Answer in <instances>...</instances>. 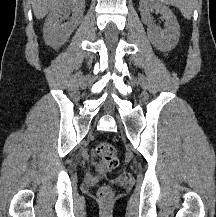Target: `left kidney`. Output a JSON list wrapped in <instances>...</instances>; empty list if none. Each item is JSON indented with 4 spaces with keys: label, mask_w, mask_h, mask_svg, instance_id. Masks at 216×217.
<instances>
[{
    "label": "left kidney",
    "mask_w": 216,
    "mask_h": 217,
    "mask_svg": "<svg viewBox=\"0 0 216 217\" xmlns=\"http://www.w3.org/2000/svg\"><path fill=\"white\" fill-rule=\"evenodd\" d=\"M139 10L141 19L148 26V38L153 46L163 52L172 50L180 38V27L174 13L156 0H140ZM156 10L166 21L164 29L154 25L151 12Z\"/></svg>",
    "instance_id": "1"
}]
</instances>
